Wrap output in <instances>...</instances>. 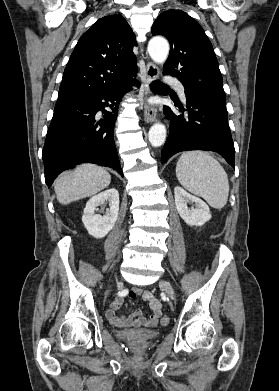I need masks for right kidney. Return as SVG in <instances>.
<instances>
[{
	"mask_svg": "<svg viewBox=\"0 0 279 391\" xmlns=\"http://www.w3.org/2000/svg\"><path fill=\"white\" fill-rule=\"evenodd\" d=\"M109 202V209L102 216L95 214L97 207ZM119 213V193L115 188L107 189L89 199L84 209L82 222L88 233L95 238L105 237L114 227Z\"/></svg>",
	"mask_w": 279,
	"mask_h": 391,
	"instance_id": "obj_1",
	"label": "right kidney"
}]
</instances>
